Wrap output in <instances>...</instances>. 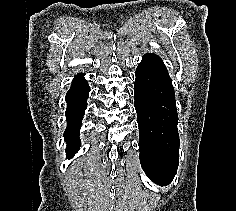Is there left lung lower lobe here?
<instances>
[{
  "label": "left lung lower lobe",
  "instance_id": "0a47b994",
  "mask_svg": "<svg viewBox=\"0 0 236 211\" xmlns=\"http://www.w3.org/2000/svg\"><path fill=\"white\" fill-rule=\"evenodd\" d=\"M135 76L141 166L153 182L167 185L177 172L180 145L172 81L162 59L151 53L142 57Z\"/></svg>",
  "mask_w": 236,
  "mask_h": 211
}]
</instances>
